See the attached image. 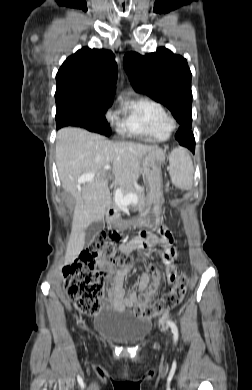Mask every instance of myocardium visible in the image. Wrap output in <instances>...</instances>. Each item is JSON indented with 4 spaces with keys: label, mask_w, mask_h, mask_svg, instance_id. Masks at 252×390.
<instances>
[{
    "label": "myocardium",
    "mask_w": 252,
    "mask_h": 390,
    "mask_svg": "<svg viewBox=\"0 0 252 390\" xmlns=\"http://www.w3.org/2000/svg\"><path fill=\"white\" fill-rule=\"evenodd\" d=\"M165 121H166V125H167V127L169 129H172L175 126V124H176L175 119L172 116L168 115V114L166 116V120Z\"/></svg>",
    "instance_id": "1"
}]
</instances>
